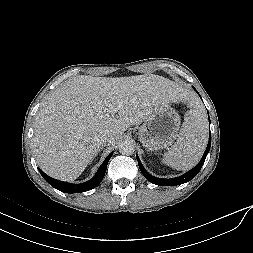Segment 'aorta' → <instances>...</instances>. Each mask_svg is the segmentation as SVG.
<instances>
[{
    "instance_id": "obj_1",
    "label": "aorta",
    "mask_w": 253,
    "mask_h": 253,
    "mask_svg": "<svg viewBox=\"0 0 253 253\" xmlns=\"http://www.w3.org/2000/svg\"><path fill=\"white\" fill-rule=\"evenodd\" d=\"M119 152L123 155H131L135 151V145L130 140H123L119 146Z\"/></svg>"
}]
</instances>
